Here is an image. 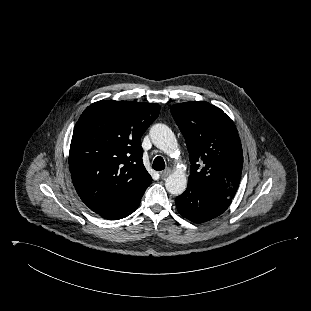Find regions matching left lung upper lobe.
Wrapping results in <instances>:
<instances>
[{
	"label": "left lung upper lobe",
	"mask_w": 311,
	"mask_h": 311,
	"mask_svg": "<svg viewBox=\"0 0 311 311\" xmlns=\"http://www.w3.org/2000/svg\"><path fill=\"white\" fill-rule=\"evenodd\" d=\"M171 113L188 148L189 181L233 199L240 183L243 152L232 120L203 101L175 104Z\"/></svg>",
	"instance_id": "left-lung-upper-lobe-1"
}]
</instances>
